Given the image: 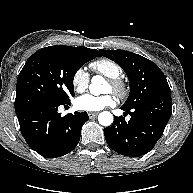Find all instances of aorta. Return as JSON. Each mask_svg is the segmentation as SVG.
Here are the masks:
<instances>
[{"label": "aorta", "instance_id": "aorta-1", "mask_svg": "<svg viewBox=\"0 0 193 193\" xmlns=\"http://www.w3.org/2000/svg\"><path fill=\"white\" fill-rule=\"evenodd\" d=\"M105 84V80L102 76H94L89 85L91 94L98 96L102 93V85ZM98 121L103 126H110L113 123V115L108 111H103L98 116Z\"/></svg>", "mask_w": 193, "mask_h": 193}]
</instances>
